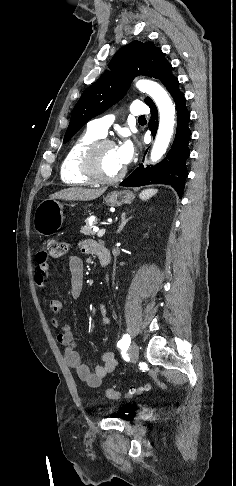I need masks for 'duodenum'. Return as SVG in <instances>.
Listing matches in <instances>:
<instances>
[{"label":"duodenum","mask_w":236,"mask_h":486,"mask_svg":"<svg viewBox=\"0 0 236 486\" xmlns=\"http://www.w3.org/2000/svg\"><path fill=\"white\" fill-rule=\"evenodd\" d=\"M96 254L98 255L100 261H101V264L103 266H106L109 261H110V254H109V251L107 248L101 246V245H98L97 248H96Z\"/></svg>","instance_id":"410a0bca"}]
</instances>
